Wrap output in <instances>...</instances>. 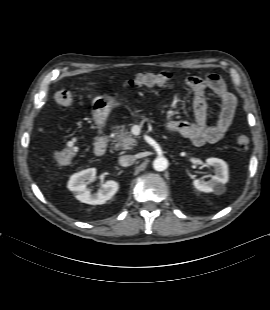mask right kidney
Segmentation results:
<instances>
[{
	"label": "right kidney",
	"instance_id": "ca27d5eb",
	"mask_svg": "<svg viewBox=\"0 0 270 310\" xmlns=\"http://www.w3.org/2000/svg\"><path fill=\"white\" fill-rule=\"evenodd\" d=\"M96 169L89 168L73 174L68 181V189L76 194V198L87 204L101 205L110 200L118 191L119 185L116 181H106L97 193H91L87 188V181L94 179Z\"/></svg>",
	"mask_w": 270,
	"mask_h": 310
}]
</instances>
